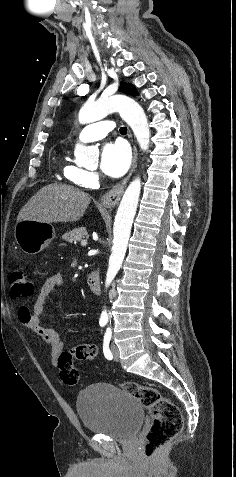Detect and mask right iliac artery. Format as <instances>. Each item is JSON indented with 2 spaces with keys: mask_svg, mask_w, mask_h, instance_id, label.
<instances>
[{
  "mask_svg": "<svg viewBox=\"0 0 236 477\" xmlns=\"http://www.w3.org/2000/svg\"><path fill=\"white\" fill-rule=\"evenodd\" d=\"M106 323H107L106 321H100V322H99V324H100L101 327H104V326L106 325Z\"/></svg>",
  "mask_w": 236,
  "mask_h": 477,
  "instance_id": "82829eb1",
  "label": "right iliac artery"
}]
</instances>
